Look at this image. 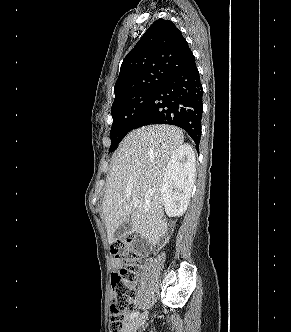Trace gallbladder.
<instances>
[{
	"label": "gallbladder",
	"mask_w": 291,
	"mask_h": 332,
	"mask_svg": "<svg viewBox=\"0 0 291 332\" xmlns=\"http://www.w3.org/2000/svg\"><path fill=\"white\" fill-rule=\"evenodd\" d=\"M133 233V228L129 220L122 221L113 232L114 240L121 239L125 235Z\"/></svg>",
	"instance_id": "gallbladder-1"
}]
</instances>
